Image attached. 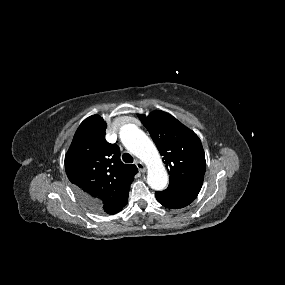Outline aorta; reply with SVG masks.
<instances>
[{
    "label": "aorta",
    "instance_id": "1",
    "mask_svg": "<svg viewBox=\"0 0 285 285\" xmlns=\"http://www.w3.org/2000/svg\"><path fill=\"white\" fill-rule=\"evenodd\" d=\"M120 138L127 150L147 165L148 185L154 190H163L168 183V174L154 143L135 124L124 125Z\"/></svg>",
    "mask_w": 285,
    "mask_h": 285
}]
</instances>
